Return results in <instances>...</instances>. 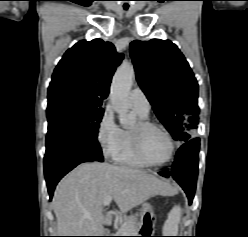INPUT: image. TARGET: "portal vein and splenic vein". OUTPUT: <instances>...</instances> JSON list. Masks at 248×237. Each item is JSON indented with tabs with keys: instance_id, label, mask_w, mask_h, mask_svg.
Masks as SVG:
<instances>
[{
	"instance_id": "portal-vein-and-splenic-vein-1",
	"label": "portal vein and splenic vein",
	"mask_w": 248,
	"mask_h": 237,
	"mask_svg": "<svg viewBox=\"0 0 248 237\" xmlns=\"http://www.w3.org/2000/svg\"><path fill=\"white\" fill-rule=\"evenodd\" d=\"M112 200H113V196H111V195L107 196V197L104 199V202H103L104 206H108ZM86 217H87L88 219H91V216L88 215V214L86 215ZM119 221L122 222L121 218H119Z\"/></svg>"
}]
</instances>
